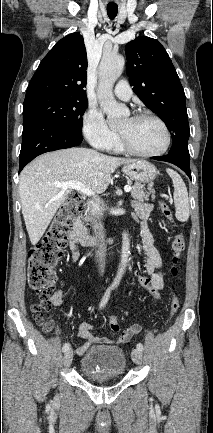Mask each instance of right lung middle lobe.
<instances>
[{"label": "right lung middle lobe", "mask_w": 213, "mask_h": 433, "mask_svg": "<svg viewBox=\"0 0 213 433\" xmlns=\"http://www.w3.org/2000/svg\"><path fill=\"white\" fill-rule=\"evenodd\" d=\"M85 98L41 94L25 97L23 119L39 117L70 133L82 136V116L87 108Z\"/></svg>", "instance_id": "right-lung-middle-lobe-1"}]
</instances>
